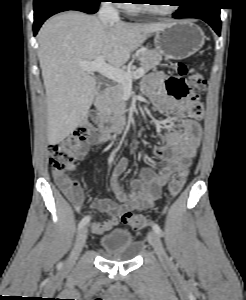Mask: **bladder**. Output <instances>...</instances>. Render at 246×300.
<instances>
[{"label": "bladder", "mask_w": 246, "mask_h": 300, "mask_svg": "<svg viewBox=\"0 0 246 300\" xmlns=\"http://www.w3.org/2000/svg\"><path fill=\"white\" fill-rule=\"evenodd\" d=\"M100 248L105 255L122 261L134 260L140 251L139 243L124 228H115L104 233L100 238Z\"/></svg>", "instance_id": "31cf9c89"}]
</instances>
